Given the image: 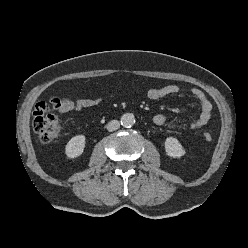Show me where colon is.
Masks as SVG:
<instances>
[{
    "label": "colon",
    "instance_id": "obj_1",
    "mask_svg": "<svg viewBox=\"0 0 248 248\" xmlns=\"http://www.w3.org/2000/svg\"><path fill=\"white\" fill-rule=\"evenodd\" d=\"M33 128L43 143H51L59 136L60 121L57 116L51 114L37 116L34 119ZM203 138L207 142L212 140L209 132H204Z\"/></svg>",
    "mask_w": 248,
    "mask_h": 248
}]
</instances>
